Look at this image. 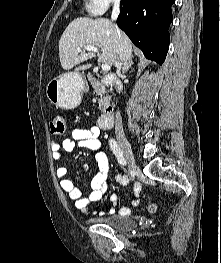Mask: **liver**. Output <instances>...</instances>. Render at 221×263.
<instances>
[{
    "instance_id": "liver-1",
    "label": "liver",
    "mask_w": 221,
    "mask_h": 263,
    "mask_svg": "<svg viewBox=\"0 0 221 263\" xmlns=\"http://www.w3.org/2000/svg\"><path fill=\"white\" fill-rule=\"evenodd\" d=\"M102 50L99 61L115 65L119 57L122 62L131 60L132 43L129 38L106 18L79 17L66 27L59 41V58L64 70L95 57V52L82 51L85 46ZM91 64L81 65L76 71L87 70Z\"/></svg>"
}]
</instances>
